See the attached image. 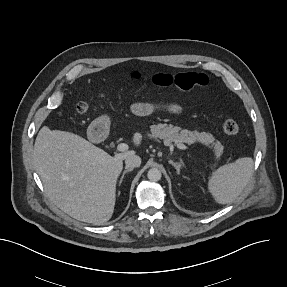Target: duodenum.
<instances>
[{
    "instance_id": "obj_1",
    "label": "duodenum",
    "mask_w": 287,
    "mask_h": 287,
    "mask_svg": "<svg viewBox=\"0 0 287 287\" xmlns=\"http://www.w3.org/2000/svg\"><path fill=\"white\" fill-rule=\"evenodd\" d=\"M109 128L105 123H97L92 127L91 135L94 138L104 139L107 137Z\"/></svg>"
}]
</instances>
